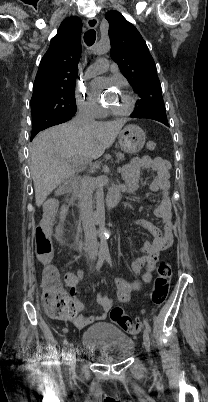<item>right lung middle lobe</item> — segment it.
Instances as JSON below:
<instances>
[{
    "label": "right lung middle lobe",
    "instance_id": "dd1d6c3e",
    "mask_svg": "<svg viewBox=\"0 0 208 402\" xmlns=\"http://www.w3.org/2000/svg\"><path fill=\"white\" fill-rule=\"evenodd\" d=\"M31 111L32 119L40 116H74L77 111L75 81H66L33 93Z\"/></svg>",
    "mask_w": 208,
    "mask_h": 402
}]
</instances>
